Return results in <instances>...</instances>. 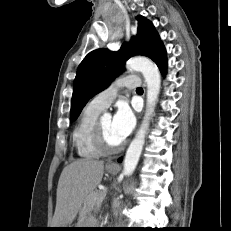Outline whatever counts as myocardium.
<instances>
[{
  "mask_svg": "<svg viewBox=\"0 0 231 231\" xmlns=\"http://www.w3.org/2000/svg\"><path fill=\"white\" fill-rule=\"evenodd\" d=\"M94 142L96 147L104 154H112L120 151L123 148V143L116 146H111L106 142L103 129L101 126V120H97L94 128Z\"/></svg>",
  "mask_w": 231,
  "mask_h": 231,
  "instance_id": "f54148a6",
  "label": "myocardium"
}]
</instances>
